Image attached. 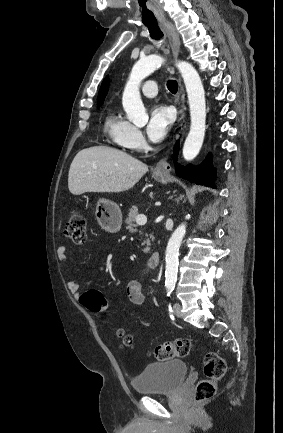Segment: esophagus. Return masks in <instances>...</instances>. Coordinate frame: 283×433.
<instances>
[{
    "label": "esophagus",
    "instance_id": "1",
    "mask_svg": "<svg viewBox=\"0 0 283 433\" xmlns=\"http://www.w3.org/2000/svg\"><path fill=\"white\" fill-rule=\"evenodd\" d=\"M163 29L165 30L168 38L170 47L172 50L173 58L175 61L178 59L179 50H180V37L178 35L177 30L175 29L174 25L171 22H165L161 24ZM180 91H181V108L179 111L180 117L178 120L179 125H182L184 119H185V91L184 88L180 82ZM178 137V134L175 135V138ZM155 173H166L171 171V166L167 162V158L163 157L160 159L153 170Z\"/></svg>",
    "mask_w": 283,
    "mask_h": 433
}]
</instances>
